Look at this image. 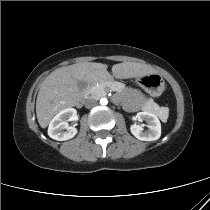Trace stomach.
<instances>
[{"instance_id": "stomach-1", "label": "stomach", "mask_w": 210, "mask_h": 210, "mask_svg": "<svg viewBox=\"0 0 210 210\" xmlns=\"http://www.w3.org/2000/svg\"><path fill=\"white\" fill-rule=\"evenodd\" d=\"M137 84L150 96L158 97L165 90V82L158 73H151L136 78Z\"/></svg>"}]
</instances>
